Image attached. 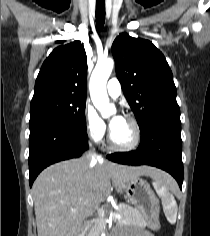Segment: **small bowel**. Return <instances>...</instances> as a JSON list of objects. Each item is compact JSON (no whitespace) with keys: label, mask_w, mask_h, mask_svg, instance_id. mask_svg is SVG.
<instances>
[{"label":"small bowel","mask_w":210,"mask_h":236,"mask_svg":"<svg viewBox=\"0 0 210 236\" xmlns=\"http://www.w3.org/2000/svg\"><path fill=\"white\" fill-rule=\"evenodd\" d=\"M115 236H153L147 232H124L122 230H116Z\"/></svg>","instance_id":"small-bowel-1"}]
</instances>
